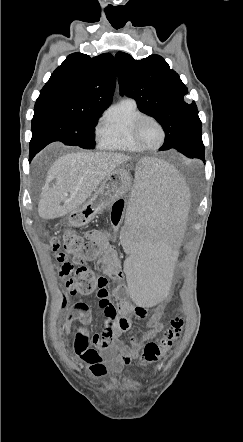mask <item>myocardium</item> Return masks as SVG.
I'll list each match as a JSON object with an SVG mask.
<instances>
[{"label": "myocardium", "mask_w": 243, "mask_h": 442, "mask_svg": "<svg viewBox=\"0 0 243 442\" xmlns=\"http://www.w3.org/2000/svg\"><path fill=\"white\" fill-rule=\"evenodd\" d=\"M146 120H151V121L155 122L161 130V134H162L161 140L155 146L145 145L139 137L140 125ZM166 136H167V133H166V129H165V126L163 125V123L157 117L150 115V114H143L140 117H138L132 127L133 140L143 150L152 151V150H156V149L160 148L164 144V142L166 140Z\"/></svg>", "instance_id": "1"}]
</instances>
